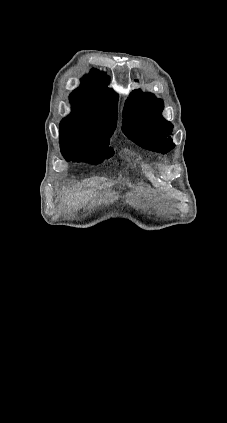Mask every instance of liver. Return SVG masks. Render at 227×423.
Listing matches in <instances>:
<instances>
[{"label":"liver","mask_w":227,"mask_h":423,"mask_svg":"<svg viewBox=\"0 0 227 423\" xmlns=\"http://www.w3.org/2000/svg\"><path fill=\"white\" fill-rule=\"evenodd\" d=\"M97 190L95 188H88V190H82V192H73L64 198L63 204L65 206H71V208H82V206H88L90 202H94V198H97Z\"/></svg>","instance_id":"liver-1"}]
</instances>
